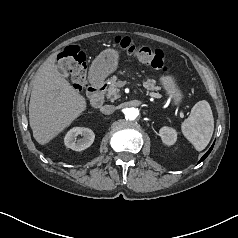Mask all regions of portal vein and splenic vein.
Listing matches in <instances>:
<instances>
[{"label":"portal vein and splenic vein","instance_id":"18ae733b","mask_svg":"<svg viewBox=\"0 0 238 238\" xmlns=\"http://www.w3.org/2000/svg\"><path fill=\"white\" fill-rule=\"evenodd\" d=\"M147 95H149L150 97H153V98H160L161 97L159 94L154 93V92H147Z\"/></svg>","mask_w":238,"mask_h":238}]
</instances>
